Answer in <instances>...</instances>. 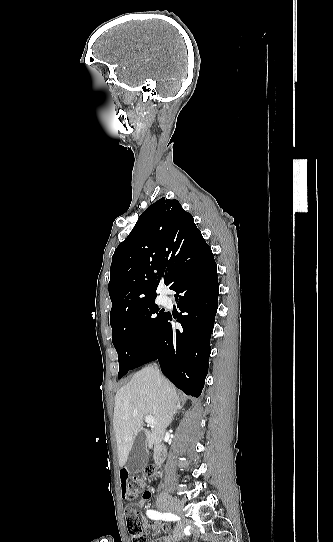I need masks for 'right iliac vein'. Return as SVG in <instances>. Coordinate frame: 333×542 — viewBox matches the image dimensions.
Here are the masks:
<instances>
[{"label": "right iliac vein", "mask_w": 333, "mask_h": 542, "mask_svg": "<svg viewBox=\"0 0 333 542\" xmlns=\"http://www.w3.org/2000/svg\"><path fill=\"white\" fill-rule=\"evenodd\" d=\"M165 500L163 501H160L157 505L160 509L162 510H168V511H171V512H175L177 513L178 515H180L181 517H183V505L182 503L179 502V500L175 499V498H169L167 496L164 497ZM183 524L181 522H178L176 527H175V530H174V534H173V540L174 541H179L182 539L183 537Z\"/></svg>", "instance_id": "63e3f726"}]
</instances>
